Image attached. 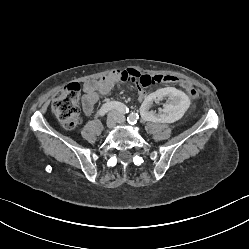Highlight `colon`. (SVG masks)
Wrapping results in <instances>:
<instances>
[{
  "label": "colon",
  "mask_w": 249,
  "mask_h": 249,
  "mask_svg": "<svg viewBox=\"0 0 249 249\" xmlns=\"http://www.w3.org/2000/svg\"><path fill=\"white\" fill-rule=\"evenodd\" d=\"M139 80L142 89L152 87L159 82H179L182 86H188L186 81H179L175 76L170 75H142ZM79 93L80 85L78 83H69L54 96L53 111L60 125L66 130L74 129L81 121L78 107ZM188 95L191 98H196L198 94L194 88H189Z\"/></svg>",
  "instance_id": "5ec220e1"
}]
</instances>
